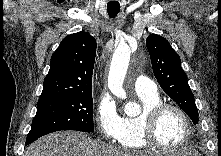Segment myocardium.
I'll return each instance as SVG.
<instances>
[{"instance_id":"obj_1","label":"myocardium","mask_w":221,"mask_h":156,"mask_svg":"<svg viewBox=\"0 0 221 156\" xmlns=\"http://www.w3.org/2000/svg\"><path fill=\"white\" fill-rule=\"evenodd\" d=\"M167 110H174L176 111L181 118L184 121L185 124V136L182 139V141L173 147L165 146L162 143L159 142L156 136V129L158 122L161 118V116L167 111ZM192 134V125L190 118L188 117L187 113L178 105L168 102H160L150 109H148L141 121V135L144 142L151 147L157 148L159 150L163 151H176L184 147L188 141L190 140Z\"/></svg>"}]
</instances>
